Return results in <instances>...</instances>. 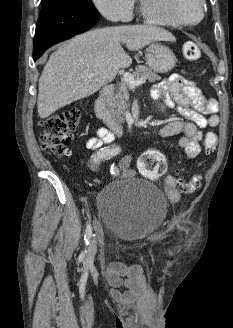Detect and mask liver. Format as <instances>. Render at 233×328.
<instances>
[{
  "mask_svg": "<svg viewBox=\"0 0 233 328\" xmlns=\"http://www.w3.org/2000/svg\"><path fill=\"white\" fill-rule=\"evenodd\" d=\"M154 41H176L169 31L153 25L105 27L75 36L47 61L38 84L40 118L97 92L120 68L131 65L121 46L137 51Z\"/></svg>",
  "mask_w": 233,
  "mask_h": 328,
  "instance_id": "1",
  "label": "liver"
}]
</instances>
